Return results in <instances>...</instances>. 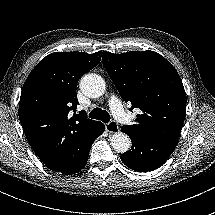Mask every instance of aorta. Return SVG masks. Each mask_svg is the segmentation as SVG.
I'll list each match as a JSON object with an SVG mask.
<instances>
[{
	"mask_svg": "<svg viewBox=\"0 0 215 215\" xmlns=\"http://www.w3.org/2000/svg\"><path fill=\"white\" fill-rule=\"evenodd\" d=\"M81 89L89 97H99L105 92V83L101 76L90 74L86 75L81 80ZM112 148L119 152L124 153L131 148L130 137L123 132H116L110 138Z\"/></svg>",
	"mask_w": 215,
	"mask_h": 215,
	"instance_id": "obj_1",
	"label": "aorta"
}]
</instances>
